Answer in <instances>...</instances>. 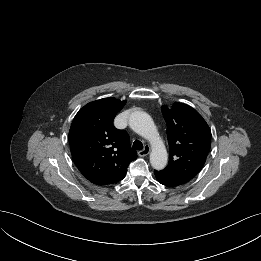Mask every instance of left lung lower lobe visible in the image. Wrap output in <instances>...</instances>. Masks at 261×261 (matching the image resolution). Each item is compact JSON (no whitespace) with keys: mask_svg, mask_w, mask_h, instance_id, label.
Instances as JSON below:
<instances>
[{"mask_svg":"<svg viewBox=\"0 0 261 261\" xmlns=\"http://www.w3.org/2000/svg\"><path fill=\"white\" fill-rule=\"evenodd\" d=\"M154 174L156 176V179L159 183H161L162 185L165 186H169V187H176L181 185L179 182L172 180L170 178H167L165 176L160 175L158 172L154 171Z\"/></svg>","mask_w":261,"mask_h":261,"instance_id":"0a47b994","label":"left lung lower lobe"}]
</instances>
